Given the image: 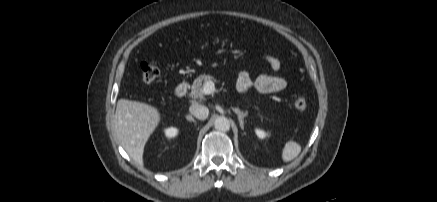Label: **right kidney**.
I'll use <instances>...</instances> for the list:
<instances>
[{
	"instance_id": "obj_1",
	"label": "right kidney",
	"mask_w": 437,
	"mask_h": 202,
	"mask_svg": "<svg viewBox=\"0 0 437 202\" xmlns=\"http://www.w3.org/2000/svg\"><path fill=\"white\" fill-rule=\"evenodd\" d=\"M178 132L179 130L175 127H170L164 130L165 136L169 139L176 137Z\"/></svg>"
}]
</instances>
